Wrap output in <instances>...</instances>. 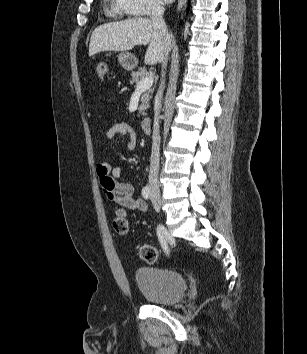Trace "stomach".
I'll return each instance as SVG.
<instances>
[{
  "instance_id": "1",
  "label": "stomach",
  "mask_w": 307,
  "mask_h": 354,
  "mask_svg": "<svg viewBox=\"0 0 307 354\" xmlns=\"http://www.w3.org/2000/svg\"><path fill=\"white\" fill-rule=\"evenodd\" d=\"M118 62L121 67L127 71L133 70L138 64L137 58L128 52L120 53L118 56Z\"/></svg>"
}]
</instances>
